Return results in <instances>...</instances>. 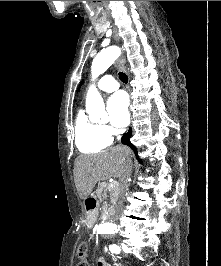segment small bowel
I'll use <instances>...</instances> for the list:
<instances>
[{
    "label": "small bowel",
    "mask_w": 221,
    "mask_h": 266,
    "mask_svg": "<svg viewBox=\"0 0 221 266\" xmlns=\"http://www.w3.org/2000/svg\"><path fill=\"white\" fill-rule=\"evenodd\" d=\"M97 266H110L107 261L105 260V258H100L97 262Z\"/></svg>",
    "instance_id": "obj_1"
}]
</instances>
